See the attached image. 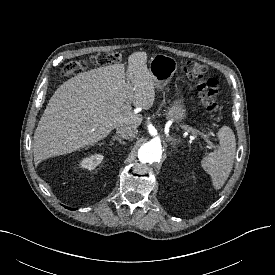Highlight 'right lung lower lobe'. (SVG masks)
<instances>
[{"label":"right lung lower lobe","mask_w":275,"mask_h":275,"mask_svg":"<svg viewBox=\"0 0 275 275\" xmlns=\"http://www.w3.org/2000/svg\"><path fill=\"white\" fill-rule=\"evenodd\" d=\"M67 208V207H66ZM68 209H70V210H75V209H72V208H68Z\"/></svg>","instance_id":"1"}]
</instances>
